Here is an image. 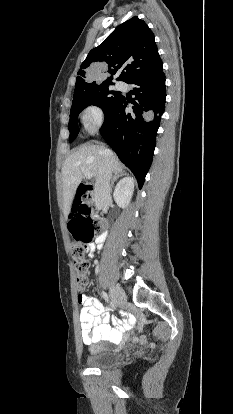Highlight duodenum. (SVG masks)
<instances>
[{
	"instance_id": "duodenum-1",
	"label": "duodenum",
	"mask_w": 233,
	"mask_h": 414,
	"mask_svg": "<svg viewBox=\"0 0 233 414\" xmlns=\"http://www.w3.org/2000/svg\"><path fill=\"white\" fill-rule=\"evenodd\" d=\"M93 187L90 185L81 184L78 188L76 199L71 206L73 212H81L83 206L92 207V203H94L95 198H92Z\"/></svg>"
}]
</instances>
